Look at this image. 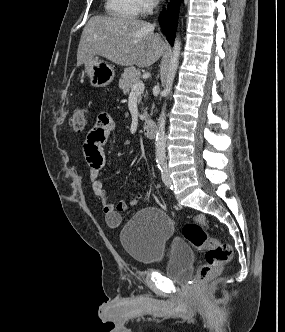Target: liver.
Listing matches in <instances>:
<instances>
[{
    "instance_id": "1",
    "label": "liver",
    "mask_w": 285,
    "mask_h": 332,
    "mask_svg": "<svg viewBox=\"0 0 285 332\" xmlns=\"http://www.w3.org/2000/svg\"><path fill=\"white\" fill-rule=\"evenodd\" d=\"M154 25L136 18L94 16L83 29L78 51L77 66L94 56H102L121 66L148 67L165 50Z\"/></svg>"
}]
</instances>
